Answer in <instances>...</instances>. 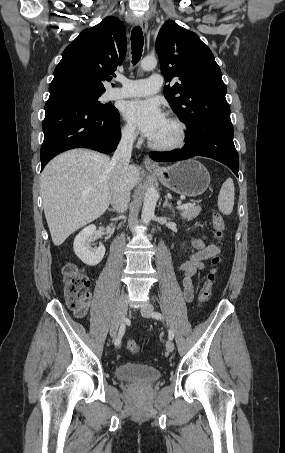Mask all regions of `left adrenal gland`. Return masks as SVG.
Listing matches in <instances>:
<instances>
[{"label": "left adrenal gland", "mask_w": 285, "mask_h": 453, "mask_svg": "<svg viewBox=\"0 0 285 453\" xmlns=\"http://www.w3.org/2000/svg\"><path fill=\"white\" fill-rule=\"evenodd\" d=\"M167 207L173 214V216H175V212H174V209H173V206L168 202V198L165 197V202L163 204V208Z\"/></svg>", "instance_id": "left-adrenal-gland-1"}]
</instances>
